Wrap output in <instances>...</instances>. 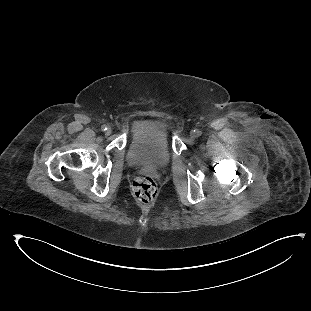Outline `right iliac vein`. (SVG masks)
I'll return each instance as SVG.
<instances>
[{"label": "right iliac vein", "mask_w": 311, "mask_h": 311, "mask_svg": "<svg viewBox=\"0 0 311 311\" xmlns=\"http://www.w3.org/2000/svg\"><path fill=\"white\" fill-rule=\"evenodd\" d=\"M111 133H112L111 128H108L107 131H106V134H107V135H110Z\"/></svg>", "instance_id": "1"}]
</instances>
